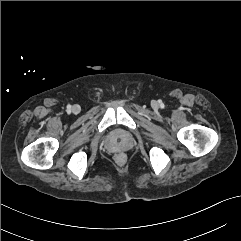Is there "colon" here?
<instances>
[{"label": "colon", "mask_w": 241, "mask_h": 241, "mask_svg": "<svg viewBox=\"0 0 241 241\" xmlns=\"http://www.w3.org/2000/svg\"><path fill=\"white\" fill-rule=\"evenodd\" d=\"M117 158H118L119 160H122V159L124 158V156H123L122 154H119V155L117 156Z\"/></svg>", "instance_id": "obj_1"}]
</instances>
